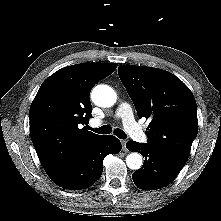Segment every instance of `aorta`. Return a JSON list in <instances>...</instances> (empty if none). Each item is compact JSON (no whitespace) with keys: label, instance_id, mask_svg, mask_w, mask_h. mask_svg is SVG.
I'll return each mask as SVG.
<instances>
[{"label":"aorta","instance_id":"aorta-1","mask_svg":"<svg viewBox=\"0 0 221 221\" xmlns=\"http://www.w3.org/2000/svg\"><path fill=\"white\" fill-rule=\"evenodd\" d=\"M91 98L95 105L106 108L115 104L117 95L110 86L101 84L93 88ZM126 164L128 168L138 170L143 164L142 156L137 152L130 153L126 157Z\"/></svg>","mask_w":221,"mask_h":221}]
</instances>
